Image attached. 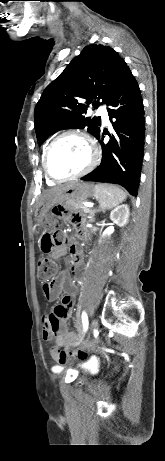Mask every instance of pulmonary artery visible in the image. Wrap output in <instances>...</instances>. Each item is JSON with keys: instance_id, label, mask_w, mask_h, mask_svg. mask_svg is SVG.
Masks as SVG:
<instances>
[{"instance_id": "pulmonary-artery-1", "label": "pulmonary artery", "mask_w": 165, "mask_h": 461, "mask_svg": "<svg viewBox=\"0 0 165 461\" xmlns=\"http://www.w3.org/2000/svg\"><path fill=\"white\" fill-rule=\"evenodd\" d=\"M97 113L99 115H101L103 123H105V124L109 123L108 113H107L106 109L103 106L98 108Z\"/></svg>"}]
</instances>
